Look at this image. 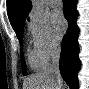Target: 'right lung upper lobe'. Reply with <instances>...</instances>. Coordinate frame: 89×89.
<instances>
[{
  "label": "right lung upper lobe",
  "mask_w": 89,
  "mask_h": 89,
  "mask_svg": "<svg viewBox=\"0 0 89 89\" xmlns=\"http://www.w3.org/2000/svg\"><path fill=\"white\" fill-rule=\"evenodd\" d=\"M31 8V0H7V13L13 29L25 21Z\"/></svg>",
  "instance_id": "obj_1"
}]
</instances>
